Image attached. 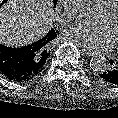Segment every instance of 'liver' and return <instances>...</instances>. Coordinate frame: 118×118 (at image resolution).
Instances as JSON below:
<instances>
[{"label":"liver","mask_w":118,"mask_h":118,"mask_svg":"<svg viewBox=\"0 0 118 118\" xmlns=\"http://www.w3.org/2000/svg\"><path fill=\"white\" fill-rule=\"evenodd\" d=\"M51 0H9L0 8V43L20 47L44 37L53 26Z\"/></svg>","instance_id":"6515ba94"}]
</instances>
